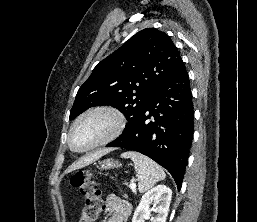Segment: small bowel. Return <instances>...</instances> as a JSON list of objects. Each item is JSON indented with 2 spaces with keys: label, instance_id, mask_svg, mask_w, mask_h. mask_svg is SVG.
Wrapping results in <instances>:
<instances>
[{
  "label": "small bowel",
  "instance_id": "obj_1",
  "mask_svg": "<svg viewBox=\"0 0 257 222\" xmlns=\"http://www.w3.org/2000/svg\"><path fill=\"white\" fill-rule=\"evenodd\" d=\"M104 209L110 215L107 222H127L131 214L130 204L115 195L107 196Z\"/></svg>",
  "mask_w": 257,
  "mask_h": 222
}]
</instances>
